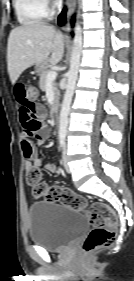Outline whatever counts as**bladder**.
<instances>
[{"instance_id": "1", "label": "bladder", "mask_w": 134, "mask_h": 281, "mask_svg": "<svg viewBox=\"0 0 134 281\" xmlns=\"http://www.w3.org/2000/svg\"><path fill=\"white\" fill-rule=\"evenodd\" d=\"M29 238L48 251H62L88 228L85 215L53 202H36L29 208Z\"/></svg>"}]
</instances>
